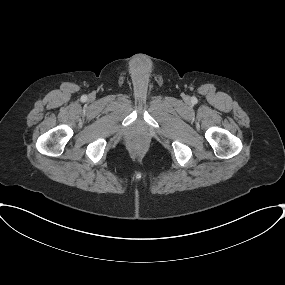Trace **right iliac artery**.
<instances>
[{
	"label": "right iliac artery",
	"mask_w": 285,
	"mask_h": 285,
	"mask_svg": "<svg viewBox=\"0 0 285 285\" xmlns=\"http://www.w3.org/2000/svg\"><path fill=\"white\" fill-rule=\"evenodd\" d=\"M87 99V96H82V100L85 101Z\"/></svg>",
	"instance_id": "1"
}]
</instances>
